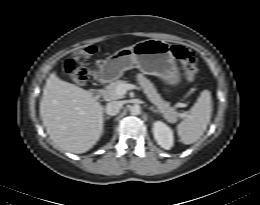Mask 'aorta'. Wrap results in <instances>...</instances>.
<instances>
[{"label": "aorta", "instance_id": "762f6f07", "mask_svg": "<svg viewBox=\"0 0 260 205\" xmlns=\"http://www.w3.org/2000/svg\"><path fill=\"white\" fill-rule=\"evenodd\" d=\"M130 113L132 115H139L141 113V108L139 105L135 104L130 107Z\"/></svg>", "mask_w": 260, "mask_h": 205}]
</instances>
